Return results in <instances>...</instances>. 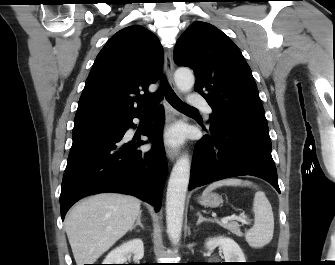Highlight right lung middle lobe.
Returning a JSON list of instances; mask_svg holds the SVG:
<instances>
[{"label":"right lung middle lobe","mask_w":335,"mask_h":265,"mask_svg":"<svg viewBox=\"0 0 335 265\" xmlns=\"http://www.w3.org/2000/svg\"><path fill=\"white\" fill-rule=\"evenodd\" d=\"M119 126L118 123L113 124H87L74 126L72 132V138H79L84 136H89L98 133H109L114 132L115 129Z\"/></svg>","instance_id":"obj_1"}]
</instances>
